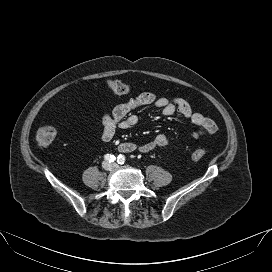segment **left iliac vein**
Returning a JSON list of instances; mask_svg holds the SVG:
<instances>
[{"instance_id": "1", "label": "left iliac vein", "mask_w": 272, "mask_h": 272, "mask_svg": "<svg viewBox=\"0 0 272 272\" xmlns=\"http://www.w3.org/2000/svg\"><path fill=\"white\" fill-rule=\"evenodd\" d=\"M113 167H117V165H116V164H113Z\"/></svg>"}]
</instances>
